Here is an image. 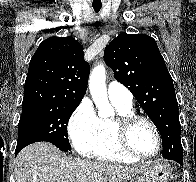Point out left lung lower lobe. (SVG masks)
<instances>
[{"label":"left lung lower lobe","mask_w":196,"mask_h":182,"mask_svg":"<svg viewBox=\"0 0 196 182\" xmlns=\"http://www.w3.org/2000/svg\"><path fill=\"white\" fill-rule=\"evenodd\" d=\"M162 156L163 158L177 161L180 165L183 166V155L177 153L176 150H174V148H172L169 152L164 150V153L162 152Z\"/></svg>","instance_id":"1"}]
</instances>
